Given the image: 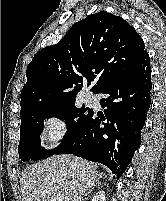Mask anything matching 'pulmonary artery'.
I'll use <instances>...</instances> for the list:
<instances>
[{
  "mask_svg": "<svg viewBox=\"0 0 166 201\" xmlns=\"http://www.w3.org/2000/svg\"><path fill=\"white\" fill-rule=\"evenodd\" d=\"M86 101H87V102L90 101V96H86Z\"/></svg>",
  "mask_w": 166,
  "mask_h": 201,
  "instance_id": "obj_1",
  "label": "pulmonary artery"
}]
</instances>
